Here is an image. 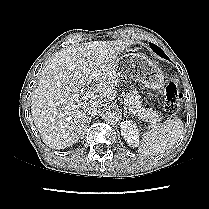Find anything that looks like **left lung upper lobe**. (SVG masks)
Returning a JSON list of instances; mask_svg holds the SVG:
<instances>
[{
    "mask_svg": "<svg viewBox=\"0 0 209 209\" xmlns=\"http://www.w3.org/2000/svg\"><path fill=\"white\" fill-rule=\"evenodd\" d=\"M151 49L156 53L158 54L160 57L162 58H165V59H168L167 55L156 45L152 44V43H149Z\"/></svg>",
    "mask_w": 209,
    "mask_h": 209,
    "instance_id": "5c2ea615",
    "label": "left lung upper lobe"
}]
</instances>
